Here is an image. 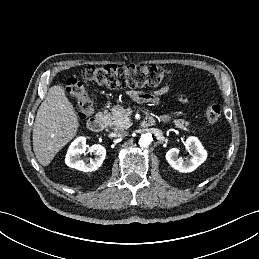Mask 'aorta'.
<instances>
[{"instance_id":"1","label":"aorta","mask_w":259,"mask_h":259,"mask_svg":"<svg viewBox=\"0 0 259 259\" xmlns=\"http://www.w3.org/2000/svg\"><path fill=\"white\" fill-rule=\"evenodd\" d=\"M152 135L150 133H145L141 136L140 140H139V145L141 147H147L150 145V143L152 142Z\"/></svg>"}]
</instances>
